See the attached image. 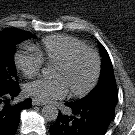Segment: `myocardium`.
Here are the masks:
<instances>
[{
	"label": "myocardium",
	"mask_w": 135,
	"mask_h": 135,
	"mask_svg": "<svg viewBox=\"0 0 135 135\" xmlns=\"http://www.w3.org/2000/svg\"><path fill=\"white\" fill-rule=\"evenodd\" d=\"M84 54H88L92 57L94 62V70L89 83L82 90H70V94L74 97H84L88 95L96 86L101 73V62L98 54L90 48L77 49L72 51L65 59L55 64L62 69H66L71 66L78 57Z\"/></svg>",
	"instance_id": "f54148a6"
}]
</instances>
